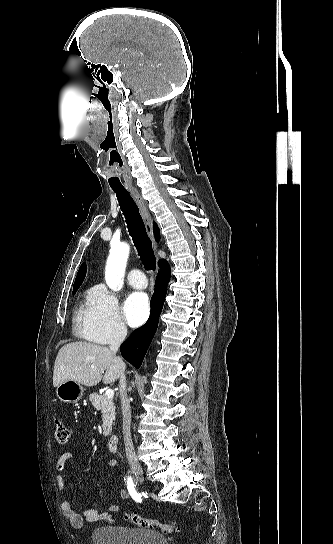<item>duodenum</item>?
Masks as SVG:
<instances>
[{"mask_svg":"<svg viewBox=\"0 0 333 544\" xmlns=\"http://www.w3.org/2000/svg\"><path fill=\"white\" fill-rule=\"evenodd\" d=\"M119 438L116 435H111L108 439V450L112 453L118 451Z\"/></svg>","mask_w":333,"mask_h":544,"instance_id":"1","label":"duodenum"}]
</instances>
